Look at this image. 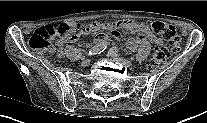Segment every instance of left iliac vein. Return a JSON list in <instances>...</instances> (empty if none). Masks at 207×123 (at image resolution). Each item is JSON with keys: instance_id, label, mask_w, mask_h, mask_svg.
Here are the masks:
<instances>
[{"instance_id": "obj_1", "label": "left iliac vein", "mask_w": 207, "mask_h": 123, "mask_svg": "<svg viewBox=\"0 0 207 123\" xmlns=\"http://www.w3.org/2000/svg\"><path fill=\"white\" fill-rule=\"evenodd\" d=\"M107 57L110 58L111 60H113L117 63L123 64L127 67H130L132 65V62L129 59L121 57L119 55L112 54L110 52L107 54Z\"/></svg>"}]
</instances>
